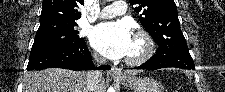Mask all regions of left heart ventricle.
<instances>
[{
    "instance_id": "obj_1",
    "label": "left heart ventricle",
    "mask_w": 225,
    "mask_h": 92,
    "mask_svg": "<svg viewBox=\"0 0 225 92\" xmlns=\"http://www.w3.org/2000/svg\"><path fill=\"white\" fill-rule=\"evenodd\" d=\"M141 52H142L141 44L137 40L133 39L131 49H130L127 57H136V56L140 55Z\"/></svg>"
}]
</instances>
